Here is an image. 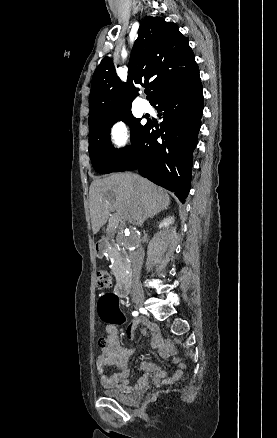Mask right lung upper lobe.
I'll use <instances>...</instances> for the list:
<instances>
[{"mask_svg":"<svg viewBox=\"0 0 277 438\" xmlns=\"http://www.w3.org/2000/svg\"><path fill=\"white\" fill-rule=\"evenodd\" d=\"M175 23L149 16L138 30L128 65L127 83L117 77L112 59L105 57L92 77L88 124L107 122L132 114L131 104L138 95L137 84L149 86V100L164 87L198 70L192 49ZM174 64L172 69L168 66ZM136 84V85H134Z\"/></svg>","mask_w":277,"mask_h":438,"instance_id":"right-lung-upper-lobe-1","label":"right lung upper lobe"}]
</instances>
